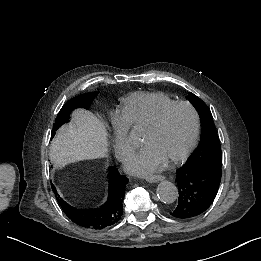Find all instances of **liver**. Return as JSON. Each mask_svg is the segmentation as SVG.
I'll use <instances>...</instances> for the list:
<instances>
[{"instance_id": "liver-1", "label": "liver", "mask_w": 261, "mask_h": 261, "mask_svg": "<svg viewBox=\"0 0 261 261\" xmlns=\"http://www.w3.org/2000/svg\"><path fill=\"white\" fill-rule=\"evenodd\" d=\"M107 123L93 113L76 109L72 122L63 125L57 132L50 147L55 158L74 155L86 158L104 157L108 150Z\"/></svg>"}]
</instances>
